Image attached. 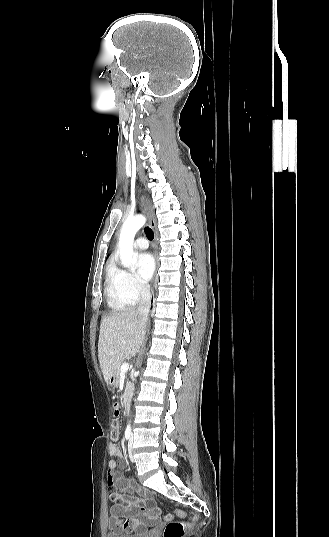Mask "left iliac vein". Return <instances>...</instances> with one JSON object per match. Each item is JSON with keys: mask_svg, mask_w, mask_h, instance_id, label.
Instances as JSON below:
<instances>
[{"mask_svg": "<svg viewBox=\"0 0 329 537\" xmlns=\"http://www.w3.org/2000/svg\"><path fill=\"white\" fill-rule=\"evenodd\" d=\"M133 442H134V435L131 434L129 442H128V450H129V453H130V459L132 461H134L133 456H132Z\"/></svg>", "mask_w": 329, "mask_h": 537, "instance_id": "4c4485c4", "label": "left iliac vein"}]
</instances>
